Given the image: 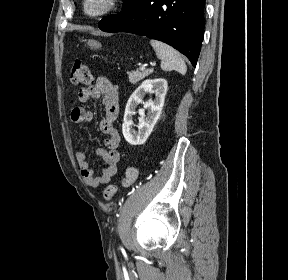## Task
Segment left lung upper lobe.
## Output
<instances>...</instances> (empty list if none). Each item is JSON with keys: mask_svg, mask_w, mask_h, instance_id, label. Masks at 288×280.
Returning <instances> with one entry per match:
<instances>
[{"mask_svg": "<svg viewBox=\"0 0 288 280\" xmlns=\"http://www.w3.org/2000/svg\"><path fill=\"white\" fill-rule=\"evenodd\" d=\"M134 0H124L123 1V9L129 7L132 3H133Z\"/></svg>", "mask_w": 288, "mask_h": 280, "instance_id": "obj_1", "label": "left lung upper lobe"}]
</instances>
